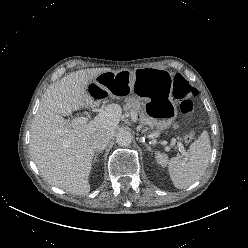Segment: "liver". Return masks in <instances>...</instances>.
<instances>
[{"instance_id":"obj_1","label":"liver","mask_w":248,"mask_h":248,"mask_svg":"<svg viewBox=\"0 0 248 248\" xmlns=\"http://www.w3.org/2000/svg\"><path fill=\"white\" fill-rule=\"evenodd\" d=\"M106 71L110 68L78 70L51 85L31 124L30 155L42 177L49 184L75 195H87L90 191L92 136L107 132L112 137L121 120L122 108L110 104L85 124L67 121L62 116L101 103L102 99L91 96L88 86Z\"/></svg>"}]
</instances>
